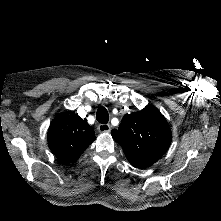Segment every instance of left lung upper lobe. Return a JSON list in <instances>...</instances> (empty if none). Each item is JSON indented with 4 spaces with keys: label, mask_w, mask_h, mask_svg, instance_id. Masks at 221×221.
Segmentation results:
<instances>
[{
    "label": "left lung upper lobe",
    "mask_w": 221,
    "mask_h": 221,
    "mask_svg": "<svg viewBox=\"0 0 221 221\" xmlns=\"http://www.w3.org/2000/svg\"><path fill=\"white\" fill-rule=\"evenodd\" d=\"M130 162L136 168L156 163L171 144V130L165 117L153 105L126 114L118 129L111 131Z\"/></svg>",
    "instance_id": "left-lung-upper-lobe-1"
}]
</instances>
